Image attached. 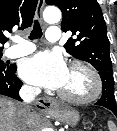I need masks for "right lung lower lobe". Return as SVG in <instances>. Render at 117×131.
Instances as JSON below:
<instances>
[{
  "instance_id": "98d812e1",
  "label": "right lung lower lobe",
  "mask_w": 117,
  "mask_h": 131,
  "mask_svg": "<svg viewBox=\"0 0 117 131\" xmlns=\"http://www.w3.org/2000/svg\"><path fill=\"white\" fill-rule=\"evenodd\" d=\"M16 65L7 66L4 72H0V94L22 101L19 89L22 87L21 80L15 75Z\"/></svg>"
}]
</instances>
